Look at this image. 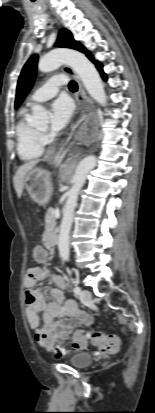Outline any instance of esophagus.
Masks as SVG:
<instances>
[{"mask_svg": "<svg viewBox=\"0 0 155 413\" xmlns=\"http://www.w3.org/2000/svg\"><path fill=\"white\" fill-rule=\"evenodd\" d=\"M62 70L64 71V72H66L67 74H69L70 76H72V77H74V79L77 81V83H78V92H77V95H76V101H77V103L80 105V104H82L83 102H86V103H91V100H90V98L87 96V94H86V92H85V90H84V88H83V85H82V83H81V81H80V79H79V77L77 76V74L70 68V67H68V66H63L62 67ZM85 112V109L83 108L82 109V113H84Z\"/></svg>", "mask_w": 155, "mask_h": 413, "instance_id": "esophagus-1", "label": "esophagus"}]
</instances>
